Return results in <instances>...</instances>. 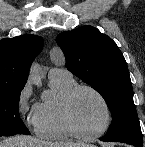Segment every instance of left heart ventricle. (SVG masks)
<instances>
[{
	"label": "left heart ventricle",
	"mask_w": 145,
	"mask_h": 147,
	"mask_svg": "<svg viewBox=\"0 0 145 147\" xmlns=\"http://www.w3.org/2000/svg\"><path fill=\"white\" fill-rule=\"evenodd\" d=\"M73 113L79 126L86 132L100 130L106 121L105 109L100 100L90 91L78 93L73 102Z\"/></svg>",
	"instance_id": "obj_1"
}]
</instances>
